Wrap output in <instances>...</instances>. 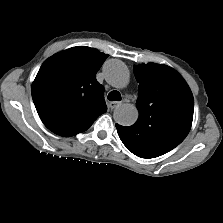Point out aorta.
I'll return each instance as SVG.
<instances>
[{
  "instance_id": "762f6f07",
  "label": "aorta",
  "mask_w": 223,
  "mask_h": 223,
  "mask_svg": "<svg viewBox=\"0 0 223 223\" xmlns=\"http://www.w3.org/2000/svg\"><path fill=\"white\" fill-rule=\"evenodd\" d=\"M106 81L115 88H124L129 82V70L120 60L111 59L103 66ZM139 116L137 108L128 103L119 105L113 113L116 123L122 126L133 125Z\"/></svg>"
}]
</instances>
